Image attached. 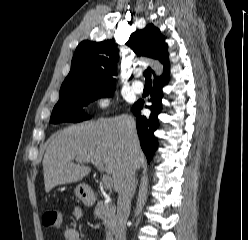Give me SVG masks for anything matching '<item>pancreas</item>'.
Returning <instances> with one entry per match:
<instances>
[{
    "label": "pancreas",
    "mask_w": 248,
    "mask_h": 240,
    "mask_svg": "<svg viewBox=\"0 0 248 240\" xmlns=\"http://www.w3.org/2000/svg\"><path fill=\"white\" fill-rule=\"evenodd\" d=\"M94 215L103 221L106 228V240H114L117 230L116 209L112 203L104 204L98 201Z\"/></svg>",
    "instance_id": "cf45deb5"
}]
</instances>
